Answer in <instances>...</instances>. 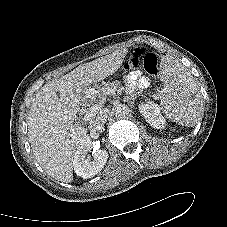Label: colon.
Returning a JSON list of instances; mask_svg holds the SVG:
<instances>
[{"instance_id":"5ec220e1","label":"colon","mask_w":227,"mask_h":227,"mask_svg":"<svg viewBox=\"0 0 227 227\" xmlns=\"http://www.w3.org/2000/svg\"><path fill=\"white\" fill-rule=\"evenodd\" d=\"M142 66L143 69L150 75L158 74V59L154 53H143L140 49H134L129 52L126 57L124 68L133 70Z\"/></svg>"}]
</instances>
